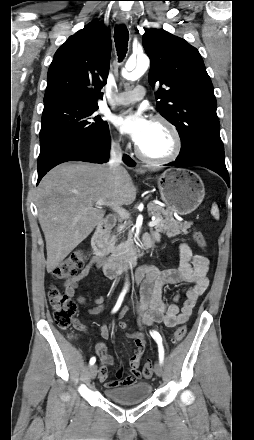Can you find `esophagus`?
<instances>
[{"label":"esophagus","instance_id":"obj_1","mask_svg":"<svg viewBox=\"0 0 254 440\" xmlns=\"http://www.w3.org/2000/svg\"><path fill=\"white\" fill-rule=\"evenodd\" d=\"M128 22L127 17L125 15H119L117 16V23L118 24H126Z\"/></svg>","mask_w":254,"mask_h":440}]
</instances>
